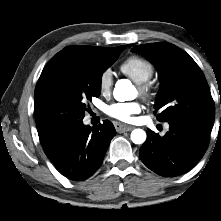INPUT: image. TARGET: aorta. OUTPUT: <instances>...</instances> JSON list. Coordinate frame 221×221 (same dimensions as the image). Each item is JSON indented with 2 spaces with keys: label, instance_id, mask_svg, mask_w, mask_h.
Returning a JSON list of instances; mask_svg holds the SVG:
<instances>
[{
  "label": "aorta",
  "instance_id": "aorta-1",
  "mask_svg": "<svg viewBox=\"0 0 221 221\" xmlns=\"http://www.w3.org/2000/svg\"><path fill=\"white\" fill-rule=\"evenodd\" d=\"M135 87L128 79H120L116 82L113 91L114 98L117 101L123 102L132 100L135 95ZM131 140L135 144H142L146 140V132L142 129H134L131 132Z\"/></svg>",
  "mask_w": 221,
  "mask_h": 221
}]
</instances>
